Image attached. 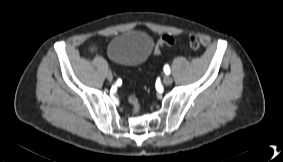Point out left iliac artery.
Listing matches in <instances>:
<instances>
[{
	"mask_svg": "<svg viewBox=\"0 0 283 162\" xmlns=\"http://www.w3.org/2000/svg\"><path fill=\"white\" fill-rule=\"evenodd\" d=\"M164 72H165L166 74H170V68H169L168 65H165V66H164Z\"/></svg>",
	"mask_w": 283,
	"mask_h": 162,
	"instance_id": "obj_1",
	"label": "left iliac artery"
}]
</instances>
